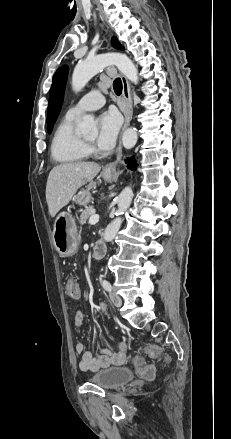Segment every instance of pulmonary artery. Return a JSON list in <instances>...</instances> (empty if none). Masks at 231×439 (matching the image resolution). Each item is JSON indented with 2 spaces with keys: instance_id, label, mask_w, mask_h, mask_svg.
Masks as SVG:
<instances>
[{
  "instance_id": "1",
  "label": "pulmonary artery",
  "mask_w": 231,
  "mask_h": 439,
  "mask_svg": "<svg viewBox=\"0 0 231 439\" xmlns=\"http://www.w3.org/2000/svg\"><path fill=\"white\" fill-rule=\"evenodd\" d=\"M105 104L104 95L100 90H92L84 95L74 106L67 111L70 117H79L86 111H94L101 108Z\"/></svg>"
}]
</instances>
